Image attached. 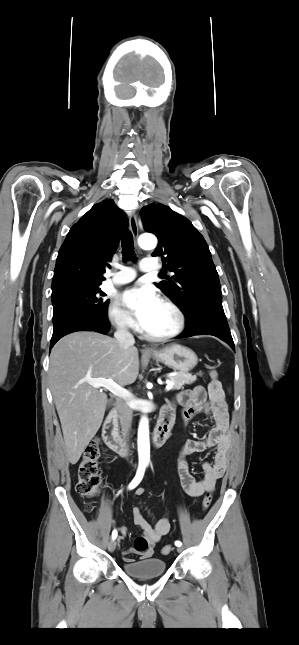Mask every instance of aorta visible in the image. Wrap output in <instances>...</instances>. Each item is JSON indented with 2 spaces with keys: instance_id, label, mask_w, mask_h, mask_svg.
<instances>
[{
  "instance_id": "aorta-1",
  "label": "aorta",
  "mask_w": 299,
  "mask_h": 645,
  "mask_svg": "<svg viewBox=\"0 0 299 645\" xmlns=\"http://www.w3.org/2000/svg\"><path fill=\"white\" fill-rule=\"evenodd\" d=\"M139 246L143 249H154L157 239L151 234L141 235L138 239ZM138 456L140 464H148L150 459V441L148 419L142 417L138 428Z\"/></svg>"
}]
</instances>
